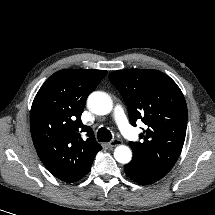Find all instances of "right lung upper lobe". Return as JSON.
I'll return each mask as SVG.
<instances>
[{
	"label": "right lung upper lobe",
	"mask_w": 215,
	"mask_h": 215,
	"mask_svg": "<svg viewBox=\"0 0 215 215\" xmlns=\"http://www.w3.org/2000/svg\"><path fill=\"white\" fill-rule=\"evenodd\" d=\"M105 70L64 69L51 75L36 94L30 129L38 156L55 177L76 182L86 175L101 146L80 118L86 99ZM81 132L88 138L83 140Z\"/></svg>",
	"instance_id": "1"
}]
</instances>
